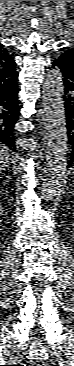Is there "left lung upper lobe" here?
<instances>
[{
	"instance_id": "obj_1",
	"label": "left lung upper lobe",
	"mask_w": 74,
	"mask_h": 366,
	"mask_svg": "<svg viewBox=\"0 0 74 366\" xmlns=\"http://www.w3.org/2000/svg\"><path fill=\"white\" fill-rule=\"evenodd\" d=\"M58 58L74 66V48L65 50Z\"/></svg>"
}]
</instances>
